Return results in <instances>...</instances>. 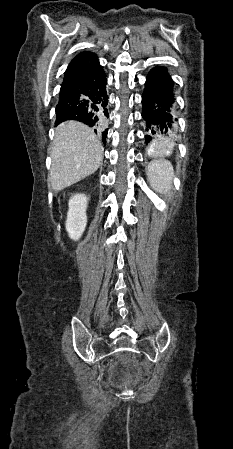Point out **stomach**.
<instances>
[{"label":"stomach","instance_id":"1","mask_svg":"<svg viewBox=\"0 0 233 449\" xmlns=\"http://www.w3.org/2000/svg\"><path fill=\"white\" fill-rule=\"evenodd\" d=\"M152 146H153V143H152V145L150 146V151H151L152 154L156 155L155 152L152 151Z\"/></svg>","mask_w":233,"mask_h":449}]
</instances>
